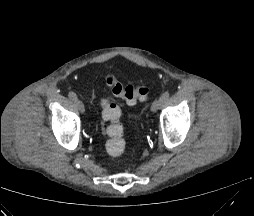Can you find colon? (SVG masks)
<instances>
[{
    "instance_id": "colon-1",
    "label": "colon",
    "mask_w": 254,
    "mask_h": 216,
    "mask_svg": "<svg viewBox=\"0 0 254 216\" xmlns=\"http://www.w3.org/2000/svg\"><path fill=\"white\" fill-rule=\"evenodd\" d=\"M105 84L111 88L112 93L123 99L128 105H134L137 101L146 100L149 90L143 85H125L119 82L113 74L109 73L105 76ZM103 103V119L107 125L105 133L108 140L105 145L106 152L113 157L120 156L126 149L124 139V128L120 122L121 111L117 104L102 100Z\"/></svg>"
}]
</instances>
